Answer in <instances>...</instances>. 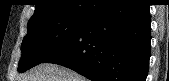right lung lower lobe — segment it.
Here are the masks:
<instances>
[{"label": "right lung lower lobe", "instance_id": "1", "mask_svg": "<svg viewBox=\"0 0 169 81\" xmlns=\"http://www.w3.org/2000/svg\"><path fill=\"white\" fill-rule=\"evenodd\" d=\"M150 25L143 0H115L42 63L68 67L92 81H145Z\"/></svg>", "mask_w": 169, "mask_h": 81}]
</instances>
